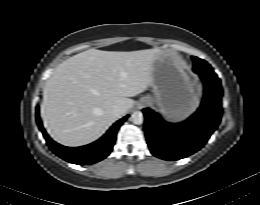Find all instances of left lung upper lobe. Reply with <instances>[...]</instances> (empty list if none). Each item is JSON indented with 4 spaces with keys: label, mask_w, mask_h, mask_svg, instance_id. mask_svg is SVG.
I'll return each instance as SVG.
<instances>
[{
    "label": "left lung upper lobe",
    "mask_w": 260,
    "mask_h": 205,
    "mask_svg": "<svg viewBox=\"0 0 260 205\" xmlns=\"http://www.w3.org/2000/svg\"><path fill=\"white\" fill-rule=\"evenodd\" d=\"M193 60H194V67H193L194 71L204 70L209 73H214L212 67L206 61L197 57H193Z\"/></svg>",
    "instance_id": "5c2ea615"
}]
</instances>
